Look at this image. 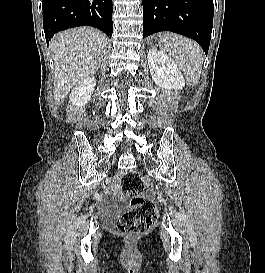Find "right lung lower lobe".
Wrapping results in <instances>:
<instances>
[{"mask_svg": "<svg viewBox=\"0 0 265 273\" xmlns=\"http://www.w3.org/2000/svg\"><path fill=\"white\" fill-rule=\"evenodd\" d=\"M42 6L47 43L59 31L84 25L112 36V0H42Z\"/></svg>", "mask_w": 265, "mask_h": 273, "instance_id": "obj_1", "label": "right lung lower lobe"}]
</instances>
